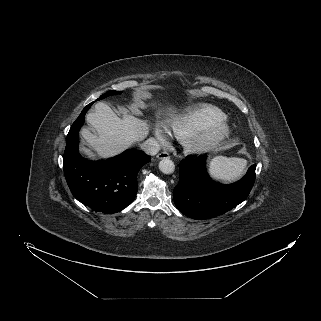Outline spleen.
<instances>
[{
    "label": "spleen",
    "mask_w": 321,
    "mask_h": 321,
    "mask_svg": "<svg viewBox=\"0 0 321 321\" xmlns=\"http://www.w3.org/2000/svg\"><path fill=\"white\" fill-rule=\"evenodd\" d=\"M246 165L247 161L242 158L217 156L209 163V173L220 181H234L242 175Z\"/></svg>",
    "instance_id": "obj_1"
}]
</instances>
